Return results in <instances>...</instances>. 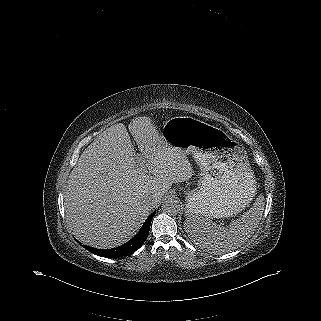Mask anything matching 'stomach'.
Returning a JSON list of instances; mask_svg holds the SVG:
<instances>
[{"mask_svg":"<svg viewBox=\"0 0 321 321\" xmlns=\"http://www.w3.org/2000/svg\"><path fill=\"white\" fill-rule=\"evenodd\" d=\"M160 135L183 155L192 154L201 168L198 187L187 193L186 213L223 218L239 213L255 193L245 151L224 131L189 116L165 122Z\"/></svg>","mask_w":321,"mask_h":321,"instance_id":"stomach-1","label":"stomach"}]
</instances>
